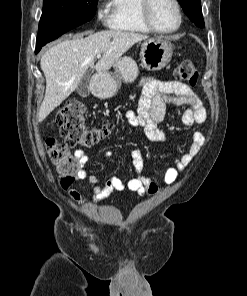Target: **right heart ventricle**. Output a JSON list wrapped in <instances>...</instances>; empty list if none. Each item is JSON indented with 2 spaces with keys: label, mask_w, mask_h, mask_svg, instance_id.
Listing matches in <instances>:
<instances>
[{
  "label": "right heart ventricle",
  "mask_w": 247,
  "mask_h": 296,
  "mask_svg": "<svg viewBox=\"0 0 247 296\" xmlns=\"http://www.w3.org/2000/svg\"><path fill=\"white\" fill-rule=\"evenodd\" d=\"M142 0H110V27L132 33H150L141 15Z\"/></svg>",
  "instance_id": "right-heart-ventricle-1"
}]
</instances>
